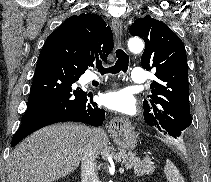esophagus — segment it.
I'll use <instances>...</instances> for the list:
<instances>
[{
  "label": "esophagus",
  "instance_id": "34e87169",
  "mask_svg": "<svg viewBox=\"0 0 211 182\" xmlns=\"http://www.w3.org/2000/svg\"><path fill=\"white\" fill-rule=\"evenodd\" d=\"M112 29L115 35V38L119 44L122 41V24L119 19H113L112 21ZM110 128L117 129L119 127L125 126L127 123L123 118H114L110 121Z\"/></svg>",
  "mask_w": 211,
  "mask_h": 182
}]
</instances>
